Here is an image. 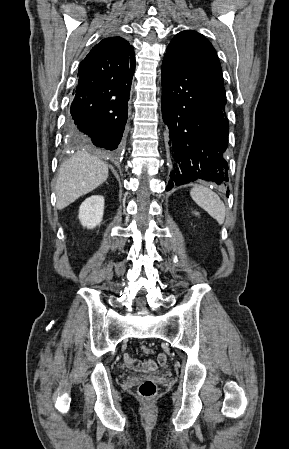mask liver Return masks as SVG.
I'll return each mask as SVG.
<instances>
[{
    "instance_id": "obj_1",
    "label": "liver",
    "mask_w": 289,
    "mask_h": 449,
    "mask_svg": "<svg viewBox=\"0 0 289 449\" xmlns=\"http://www.w3.org/2000/svg\"><path fill=\"white\" fill-rule=\"evenodd\" d=\"M108 178V167L99 158L77 152L59 169L56 182V207L66 208L81 196L91 192Z\"/></svg>"
}]
</instances>
